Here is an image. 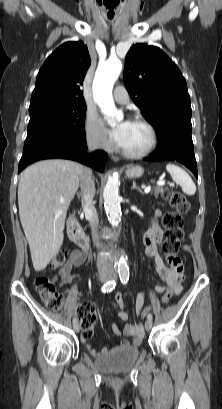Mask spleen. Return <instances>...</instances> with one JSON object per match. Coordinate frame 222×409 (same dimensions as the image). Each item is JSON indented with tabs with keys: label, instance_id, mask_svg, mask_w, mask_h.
<instances>
[{
	"label": "spleen",
	"instance_id": "3e777b00",
	"mask_svg": "<svg viewBox=\"0 0 222 409\" xmlns=\"http://www.w3.org/2000/svg\"><path fill=\"white\" fill-rule=\"evenodd\" d=\"M166 170L170 173L173 181L181 186L185 194L190 196L195 194L196 186L184 169L174 164H168L166 165Z\"/></svg>",
	"mask_w": 222,
	"mask_h": 409
}]
</instances>
